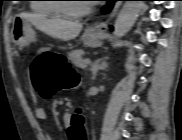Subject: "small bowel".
I'll list each match as a JSON object with an SVG mask.
<instances>
[{
  "mask_svg": "<svg viewBox=\"0 0 182 140\" xmlns=\"http://www.w3.org/2000/svg\"><path fill=\"white\" fill-rule=\"evenodd\" d=\"M35 117L38 121H44L47 117V114H46V111L43 107H41L40 105L37 104V102L35 101ZM69 119H70V116L66 115L64 116V123L65 125L68 126L69 124ZM45 140H52L50 134H46L45 135Z\"/></svg>",
  "mask_w": 182,
  "mask_h": 140,
  "instance_id": "obj_1",
  "label": "small bowel"
}]
</instances>
